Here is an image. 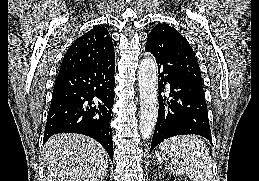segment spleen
I'll list each match as a JSON object with an SVG mask.
<instances>
[{"label": "spleen", "mask_w": 259, "mask_h": 181, "mask_svg": "<svg viewBox=\"0 0 259 181\" xmlns=\"http://www.w3.org/2000/svg\"><path fill=\"white\" fill-rule=\"evenodd\" d=\"M168 152V169L176 175H186L191 181H213L209 148L195 135H179L164 140L160 146Z\"/></svg>", "instance_id": "1"}]
</instances>
